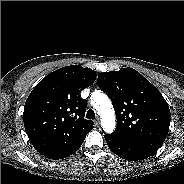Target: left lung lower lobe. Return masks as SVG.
<instances>
[{"mask_svg": "<svg viewBox=\"0 0 184 184\" xmlns=\"http://www.w3.org/2000/svg\"><path fill=\"white\" fill-rule=\"evenodd\" d=\"M105 140L111 151L125 160H144L155 153L144 146L133 143L114 133L105 135Z\"/></svg>", "mask_w": 184, "mask_h": 184, "instance_id": "obj_1", "label": "left lung lower lobe"}]
</instances>
